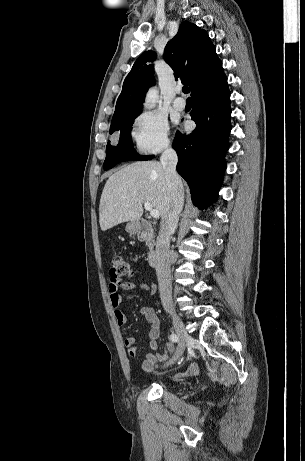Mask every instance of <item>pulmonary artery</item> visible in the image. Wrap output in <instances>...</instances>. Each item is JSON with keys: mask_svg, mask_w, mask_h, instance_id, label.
Wrapping results in <instances>:
<instances>
[{"mask_svg": "<svg viewBox=\"0 0 305 461\" xmlns=\"http://www.w3.org/2000/svg\"><path fill=\"white\" fill-rule=\"evenodd\" d=\"M177 93L180 94V90ZM173 107L176 110L182 111L186 107V102L182 97H176L173 101Z\"/></svg>", "mask_w": 305, "mask_h": 461, "instance_id": "pulmonary-artery-1", "label": "pulmonary artery"}]
</instances>
